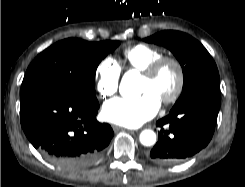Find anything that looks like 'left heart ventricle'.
Here are the masks:
<instances>
[{"label": "left heart ventricle", "mask_w": 245, "mask_h": 187, "mask_svg": "<svg viewBox=\"0 0 245 187\" xmlns=\"http://www.w3.org/2000/svg\"><path fill=\"white\" fill-rule=\"evenodd\" d=\"M176 84V71L172 66L164 67L159 74L152 78L143 76L140 91H152L160 100L172 93Z\"/></svg>", "instance_id": "1"}]
</instances>
